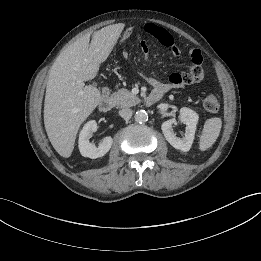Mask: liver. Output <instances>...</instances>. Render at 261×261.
Listing matches in <instances>:
<instances>
[{"mask_svg":"<svg viewBox=\"0 0 261 261\" xmlns=\"http://www.w3.org/2000/svg\"><path fill=\"white\" fill-rule=\"evenodd\" d=\"M123 24L106 26L90 38L85 35L67 47L52 65L44 101V125L57 153L71 156L81 124L101 101L100 91L84 82L96 77L111 53Z\"/></svg>","mask_w":261,"mask_h":261,"instance_id":"1","label":"liver"}]
</instances>
